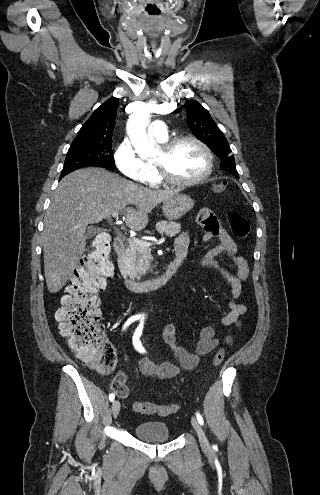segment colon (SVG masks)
<instances>
[{
  "instance_id": "1",
  "label": "colon",
  "mask_w": 320,
  "mask_h": 495,
  "mask_svg": "<svg viewBox=\"0 0 320 495\" xmlns=\"http://www.w3.org/2000/svg\"><path fill=\"white\" fill-rule=\"evenodd\" d=\"M226 188L227 183L221 182L215 187V192L222 193ZM228 222L236 237H247L250 224L243 215L237 212L229 213ZM110 251L111 243L108 237L100 236L95 239L83 259L81 268L67 286L62 304L56 312L59 332L67 338L70 348L82 361L101 373L113 370L117 361L115 348L104 340L97 297V293L106 288L113 275ZM224 357V350L219 349L213 357L214 366H220ZM112 388L118 397H127L128 389L123 375L114 379ZM133 409L141 414L167 416L176 412L179 406L137 401L133 404Z\"/></svg>"
}]
</instances>
